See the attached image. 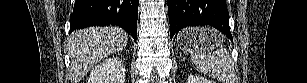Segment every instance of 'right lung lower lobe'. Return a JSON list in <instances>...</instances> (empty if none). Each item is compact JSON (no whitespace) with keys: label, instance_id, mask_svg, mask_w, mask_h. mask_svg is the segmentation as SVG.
Returning a JSON list of instances; mask_svg holds the SVG:
<instances>
[{"label":"right lung lower lobe","instance_id":"right-lung-lower-lobe-1","mask_svg":"<svg viewBox=\"0 0 307 83\" xmlns=\"http://www.w3.org/2000/svg\"><path fill=\"white\" fill-rule=\"evenodd\" d=\"M139 0H76L70 32L89 26L117 25L137 39Z\"/></svg>","mask_w":307,"mask_h":83}]
</instances>
